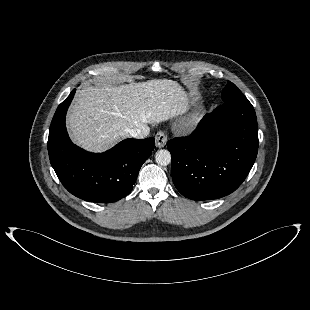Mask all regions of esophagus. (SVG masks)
Instances as JSON below:
<instances>
[{"label":"esophagus","mask_w":310,"mask_h":310,"mask_svg":"<svg viewBox=\"0 0 310 310\" xmlns=\"http://www.w3.org/2000/svg\"><path fill=\"white\" fill-rule=\"evenodd\" d=\"M156 146L163 148L167 143V135L163 131H159L155 136Z\"/></svg>","instance_id":"1"}]
</instances>
